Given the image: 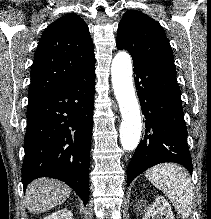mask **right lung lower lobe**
<instances>
[{
  "label": "right lung lower lobe",
  "instance_id": "98d812e1",
  "mask_svg": "<svg viewBox=\"0 0 211 219\" xmlns=\"http://www.w3.org/2000/svg\"><path fill=\"white\" fill-rule=\"evenodd\" d=\"M94 70L95 66L29 99L22 165L24 186L39 177L57 178L87 204Z\"/></svg>",
  "mask_w": 211,
  "mask_h": 219
}]
</instances>
